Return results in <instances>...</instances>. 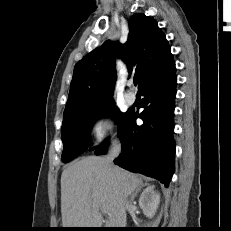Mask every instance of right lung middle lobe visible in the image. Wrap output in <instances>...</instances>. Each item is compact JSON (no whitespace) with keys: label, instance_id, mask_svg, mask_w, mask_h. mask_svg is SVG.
Segmentation results:
<instances>
[{"label":"right lung middle lobe","instance_id":"obj_1","mask_svg":"<svg viewBox=\"0 0 231 231\" xmlns=\"http://www.w3.org/2000/svg\"><path fill=\"white\" fill-rule=\"evenodd\" d=\"M127 113L120 112L114 101H110L86 110L65 114L61 128L64 146L62 160L69 162L88 149L91 128L97 119L106 115L113 116L120 125Z\"/></svg>","mask_w":231,"mask_h":231}]
</instances>
